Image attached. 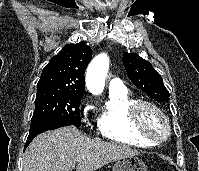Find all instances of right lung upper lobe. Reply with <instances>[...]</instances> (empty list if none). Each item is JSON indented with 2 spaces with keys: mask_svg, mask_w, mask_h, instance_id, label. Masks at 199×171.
<instances>
[{
  "mask_svg": "<svg viewBox=\"0 0 199 171\" xmlns=\"http://www.w3.org/2000/svg\"><path fill=\"white\" fill-rule=\"evenodd\" d=\"M91 58L92 50L84 42L64 46L43 69L37 87L57 88L84 95V73Z\"/></svg>",
  "mask_w": 199,
  "mask_h": 171,
  "instance_id": "obj_1",
  "label": "right lung upper lobe"
}]
</instances>
